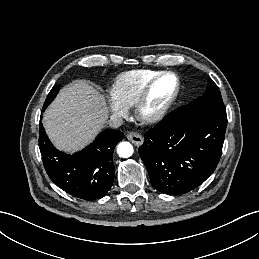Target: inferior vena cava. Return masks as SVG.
I'll return each mask as SVG.
<instances>
[{
	"mask_svg": "<svg viewBox=\"0 0 259 259\" xmlns=\"http://www.w3.org/2000/svg\"><path fill=\"white\" fill-rule=\"evenodd\" d=\"M109 124L113 128H118L119 126H121L123 124V119L118 115H115V114L111 115Z\"/></svg>",
	"mask_w": 259,
	"mask_h": 259,
	"instance_id": "1",
	"label": "inferior vena cava"
}]
</instances>
